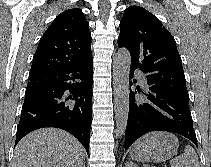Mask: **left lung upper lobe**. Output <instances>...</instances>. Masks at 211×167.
Returning <instances> with one entry per match:
<instances>
[{
  "instance_id": "obj_1",
  "label": "left lung upper lobe",
  "mask_w": 211,
  "mask_h": 167,
  "mask_svg": "<svg viewBox=\"0 0 211 167\" xmlns=\"http://www.w3.org/2000/svg\"><path fill=\"white\" fill-rule=\"evenodd\" d=\"M118 45L129 50L131 66L140 69L150 84L189 100L176 42L153 14L138 6L125 9Z\"/></svg>"
}]
</instances>
